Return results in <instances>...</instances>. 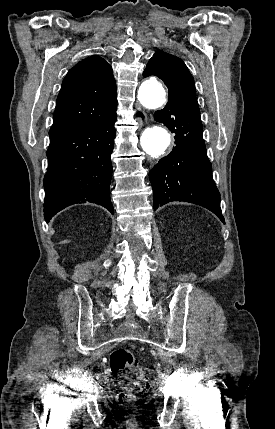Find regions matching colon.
<instances>
[{
	"label": "colon",
	"instance_id": "5ec220e1",
	"mask_svg": "<svg viewBox=\"0 0 275 429\" xmlns=\"http://www.w3.org/2000/svg\"><path fill=\"white\" fill-rule=\"evenodd\" d=\"M109 367L123 386V390L117 394L118 403L124 405L134 402L135 394L143 390L147 381L137 359L128 349L117 348L110 353ZM128 371H131L134 377L129 376Z\"/></svg>",
	"mask_w": 275,
	"mask_h": 429
}]
</instances>
